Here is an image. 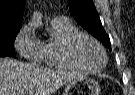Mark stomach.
<instances>
[{"label": "stomach", "instance_id": "0dacf381", "mask_svg": "<svg viewBox=\"0 0 135 95\" xmlns=\"http://www.w3.org/2000/svg\"><path fill=\"white\" fill-rule=\"evenodd\" d=\"M98 82L88 76L78 78L66 85L64 95H100Z\"/></svg>", "mask_w": 135, "mask_h": 95}]
</instances>
